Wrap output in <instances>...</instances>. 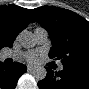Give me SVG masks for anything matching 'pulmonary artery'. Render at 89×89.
<instances>
[{"instance_id": "pulmonary-artery-1", "label": "pulmonary artery", "mask_w": 89, "mask_h": 89, "mask_svg": "<svg viewBox=\"0 0 89 89\" xmlns=\"http://www.w3.org/2000/svg\"><path fill=\"white\" fill-rule=\"evenodd\" d=\"M34 37L38 44H43L47 41L48 32L43 28H37L34 31Z\"/></svg>"}]
</instances>
